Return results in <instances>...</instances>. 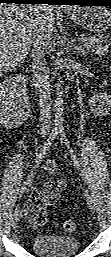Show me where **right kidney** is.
<instances>
[{
    "label": "right kidney",
    "instance_id": "ca27d5eb",
    "mask_svg": "<svg viewBox=\"0 0 111 257\" xmlns=\"http://www.w3.org/2000/svg\"><path fill=\"white\" fill-rule=\"evenodd\" d=\"M1 121L9 123L10 119L30 107L26 94V78L23 74H13L0 85Z\"/></svg>",
    "mask_w": 111,
    "mask_h": 257
}]
</instances>
